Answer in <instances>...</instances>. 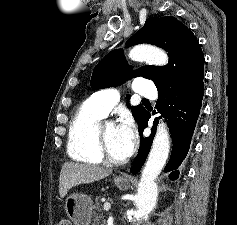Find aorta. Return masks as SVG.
<instances>
[{
  "instance_id": "762f6f07",
  "label": "aorta",
  "mask_w": 237,
  "mask_h": 225,
  "mask_svg": "<svg viewBox=\"0 0 237 225\" xmlns=\"http://www.w3.org/2000/svg\"><path fill=\"white\" fill-rule=\"evenodd\" d=\"M129 58L137 62H146L151 65H165L168 57L162 50L148 46H135L129 53ZM170 150V138L167 126L161 122L153 141L147 162L142 171L135 197L136 210L129 211L130 220H139L153 208L157 198L158 187L156 178L166 164Z\"/></svg>"
}]
</instances>
